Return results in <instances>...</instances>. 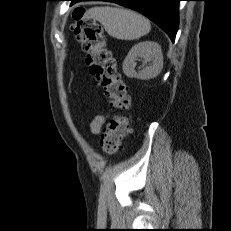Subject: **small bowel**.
Listing matches in <instances>:
<instances>
[{"label": "small bowel", "mask_w": 231, "mask_h": 231, "mask_svg": "<svg viewBox=\"0 0 231 231\" xmlns=\"http://www.w3.org/2000/svg\"><path fill=\"white\" fill-rule=\"evenodd\" d=\"M105 121H106V116L103 115L95 116L90 123V131L93 134H100Z\"/></svg>", "instance_id": "c3829d8e"}]
</instances>
